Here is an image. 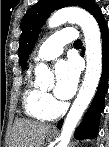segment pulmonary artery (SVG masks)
Listing matches in <instances>:
<instances>
[{"label": "pulmonary artery", "instance_id": "pulmonary-artery-1", "mask_svg": "<svg viewBox=\"0 0 109 147\" xmlns=\"http://www.w3.org/2000/svg\"><path fill=\"white\" fill-rule=\"evenodd\" d=\"M78 40V34L73 31H62L51 35L38 49L34 62L53 60L63 52V46Z\"/></svg>", "mask_w": 109, "mask_h": 147}]
</instances>
